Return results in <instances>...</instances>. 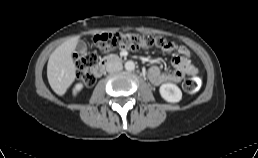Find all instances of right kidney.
<instances>
[{
    "label": "right kidney",
    "mask_w": 258,
    "mask_h": 158,
    "mask_svg": "<svg viewBox=\"0 0 258 158\" xmlns=\"http://www.w3.org/2000/svg\"><path fill=\"white\" fill-rule=\"evenodd\" d=\"M83 88L82 83H77L73 88V95L76 96Z\"/></svg>",
    "instance_id": "ca27d5eb"
}]
</instances>
